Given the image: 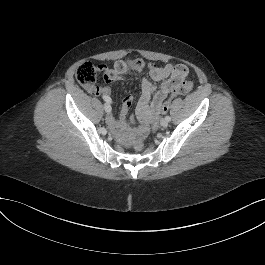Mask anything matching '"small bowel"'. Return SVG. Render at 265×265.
<instances>
[{
    "label": "small bowel",
    "mask_w": 265,
    "mask_h": 265,
    "mask_svg": "<svg viewBox=\"0 0 265 265\" xmlns=\"http://www.w3.org/2000/svg\"><path fill=\"white\" fill-rule=\"evenodd\" d=\"M130 70V65L123 60L116 61L111 68L99 65V71L104 73L105 81L108 84L121 80ZM187 74L188 69L183 64H166L164 66H154L150 69V79L144 78L141 81L138 117L142 123L151 122L160 113L164 100L183 81ZM153 82H160V86L156 87ZM88 90L95 95L101 94L102 97L110 98L111 95L109 86H94ZM132 103L133 97L131 95L126 96L122 103L119 119H115L111 115L106 117V122L110 128L120 129L125 124L126 116Z\"/></svg>",
    "instance_id": "small-bowel-1"
}]
</instances>
